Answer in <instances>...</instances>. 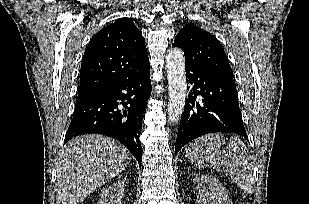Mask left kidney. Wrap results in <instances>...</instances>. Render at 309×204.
Listing matches in <instances>:
<instances>
[{
    "label": "left kidney",
    "mask_w": 309,
    "mask_h": 204,
    "mask_svg": "<svg viewBox=\"0 0 309 204\" xmlns=\"http://www.w3.org/2000/svg\"><path fill=\"white\" fill-rule=\"evenodd\" d=\"M199 204H233L222 184L214 177L199 174L195 178Z\"/></svg>",
    "instance_id": "left-kidney-1"
}]
</instances>
